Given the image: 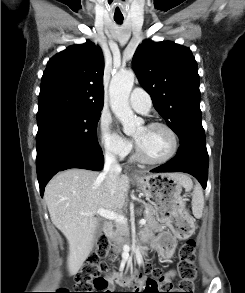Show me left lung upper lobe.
Instances as JSON below:
<instances>
[{
	"label": "left lung upper lobe",
	"instance_id": "5c2ea615",
	"mask_svg": "<svg viewBox=\"0 0 245 293\" xmlns=\"http://www.w3.org/2000/svg\"><path fill=\"white\" fill-rule=\"evenodd\" d=\"M132 63L140 84L180 143H206L198 68L191 50L170 41L149 40L138 46Z\"/></svg>",
	"mask_w": 245,
	"mask_h": 293
}]
</instances>
